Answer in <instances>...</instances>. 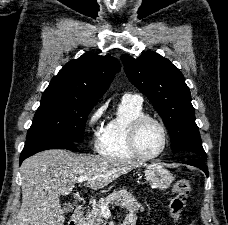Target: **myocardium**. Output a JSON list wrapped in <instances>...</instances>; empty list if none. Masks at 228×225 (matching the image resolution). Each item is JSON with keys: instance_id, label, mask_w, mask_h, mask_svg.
Instances as JSON below:
<instances>
[{"instance_id": "f54148a6", "label": "myocardium", "mask_w": 228, "mask_h": 225, "mask_svg": "<svg viewBox=\"0 0 228 225\" xmlns=\"http://www.w3.org/2000/svg\"><path fill=\"white\" fill-rule=\"evenodd\" d=\"M154 122L156 123L162 130L163 132V146L161 148V150L155 154L149 155V154H145L141 147H140V143H139V136H140V132L142 130V128L144 127V125L147 122ZM168 142H169V133H168V129L165 125V123L152 115H143L137 119H135L130 127V131H129V144L130 147L132 149V151L140 158L142 159H146V160H152V159H156L159 158L160 156H162L164 154V152L167 149L168 146Z\"/></svg>"}]
</instances>
